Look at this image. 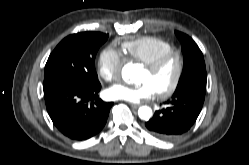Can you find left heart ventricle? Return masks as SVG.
<instances>
[{
	"mask_svg": "<svg viewBox=\"0 0 249 165\" xmlns=\"http://www.w3.org/2000/svg\"><path fill=\"white\" fill-rule=\"evenodd\" d=\"M174 62L171 61L167 63L162 70L156 74H151L147 69L142 67L137 75L139 81H146L154 88V90H159L168 85L170 82L173 72H174Z\"/></svg>",
	"mask_w": 249,
	"mask_h": 165,
	"instance_id": "b2bd125f",
	"label": "left heart ventricle"
}]
</instances>
